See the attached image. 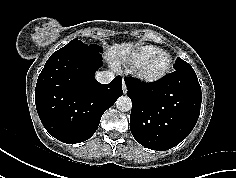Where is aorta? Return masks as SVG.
<instances>
[{
  "instance_id": "762f6f07",
  "label": "aorta",
  "mask_w": 236,
  "mask_h": 178,
  "mask_svg": "<svg viewBox=\"0 0 236 178\" xmlns=\"http://www.w3.org/2000/svg\"><path fill=\"white\" fill-rule=\"evenodd\" d=\"M116 107L121 112H127L130 111L132 108V101L127 96H121L116 101Z\"/></svg>"
}]
</instances>
